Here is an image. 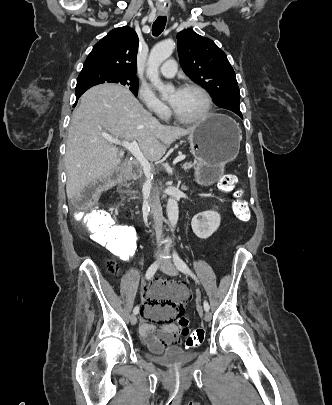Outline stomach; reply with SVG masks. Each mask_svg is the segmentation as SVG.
Returning a JSON list of instances; mask_svg holds the SVG:
<instances>
[{
    "label": "stomach",
    "mask_w": 332,
    "mask_h": 405,
    "mask_svg": "<svg viewBox=\"0 0 332 405\" xmlns=\"http://www.w3.org/2000/svg\"><path fill=\"white\" fill-rule=\"evenodd\" d=\"M241 139L238 124L228 116L210 114L197 123L188 140L198 163V180L205 184L215 182L225 164L237 157Z\"/></svg>",
    "instance_id": "obj_1"
}]
</instances>
